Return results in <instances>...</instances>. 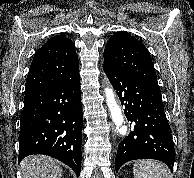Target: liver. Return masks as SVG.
<instances>
[{
	"instance_id": "6515ba94",
	"label": "liver",
	"mask_w": 194,
	"mask_h": 178,
	"mask_svg": "<svg viewBox=\"0 0 194 178\" xmlns=\"http://www.w3.org/2000/svg\"><path fill=\"white\" fill-rule=\"evenodd\" d=\"M22 178H61L62 164L45 155H32L20 165Z\"/></svg>"
}]
</instances>
